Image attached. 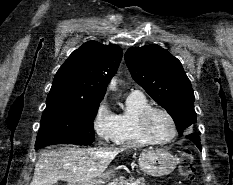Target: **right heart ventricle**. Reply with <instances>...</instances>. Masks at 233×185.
Returning <instances> with one entry per match:
<instances>
[{
	"instance_id": "e07e8e85",
	"label": "right heart ventricle",
	"mask_w": 233,
	"mask_h": 185,
	"mask_svg": "<svg viewBox=\"0 0 233 185\" xmlns=\"http://www.w3.org/2000/svg\"><path fill=\"white\" fill-rule=\"evenodd\" d=\"M149 106L148 99L142 93H130L127 96L125 109L116 115V144L130 147L149 144L139 129V117Z\"/></svg>"
}]
</instances>
